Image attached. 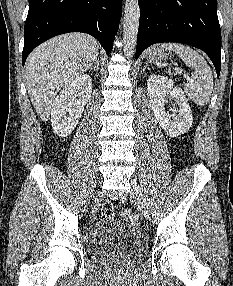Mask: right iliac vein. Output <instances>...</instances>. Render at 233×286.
I'll list each match as a JSON object with an SVG mask.
<instances>
[{
    "label": "right iliac vein",
    "mask_w": 233,
    "mask_h": 286,
    "mask_svg": "<svg viewBox=\"0 0 233 286\" xmlns=\"http://www.w3.org/2000/svg\"><path fill=\"white\" fill-rule=\"evenodd\" d=\"M102 196V192H98L97 197H101Z\"/></svg>",
    "instance_id": "1"
}]
</instances>
